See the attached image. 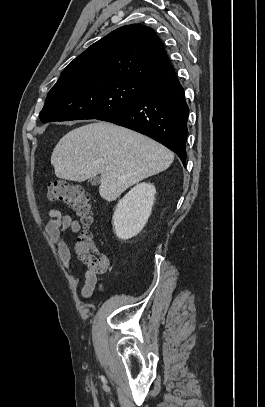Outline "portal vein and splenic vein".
<instances>
[{
    "mask_svg": "<svg viewBox=\"0 0 265 407\" xmlns=\"http://www.w3.org/2000/svg\"><path fill=\"white\" fill-rule=\"evenodd\" d=\"M106 169H107V170H110V169H111V166H107Z\"/></svg>",
    "mask_w": 265,
    "mask_h": 407,
    "instance_id": "18ae733b",
    "label": "portal vein and splenic vein"
}]
</instances>
